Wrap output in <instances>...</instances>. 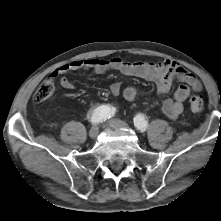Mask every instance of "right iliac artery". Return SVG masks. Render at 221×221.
Instances as JSON below:
<instances>
[{
    "instance_id": "1",
    "label": "right iliac artery",
    "mask_w": 221,
    "mask_h": 221,
    "mask_svg": "<svg viewBox=\"0 0 221 221\" xmlns=\"http://www.w3.org/2000/svg\"><path fill=\"white\" fill-rule=\"evenodd\" d=\"M115 108L110 107L109 105H101L93 110L90 122L93 124H98L103 121H106L107 119L111 118L115 114Z\"/></svg>"
}]
</instances>
